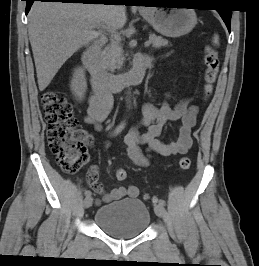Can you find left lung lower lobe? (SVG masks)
<instances>
[{"instance_id": "1", "label": "left lung lower lobe", "mask_w": 259, "mask_h": 266, "mask_svg": "<svg viewBox=\"0 0 259 266\" xmlns=\"http://www.w3.org/2000/svg\"><path fill=\"white\" fill-rule=\"evenodd\" d=\"M172 0H164V1H160V2H156V3H174L171 2ZM220 13L221 18L223 19V21L225 22L229 32H230V21H231V15H232V11L229 9H218L217 10Z\"/></svg>"}]
</instances>
